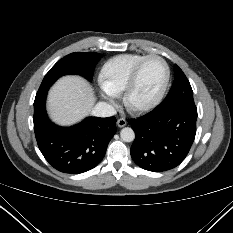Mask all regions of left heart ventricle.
Returning <instances> with one entry per match:
<instances>
[{
    "mask_svg": "<svg viewBox=\"0 0 233 233\" xmlns=\"http://www.w3.org/2000/svg\"><path fill=\"white\" fill-rule=\"evenodd\" d=\"M165 79V68L158 59H149L143 65L133 100L136 103H146L150 101L160 90Z\"/></svg>",
    "mask_w": 233,
    "mask_h": 233,
    "instance_id": "obj_1",
    "label": "left heart ventricle"
}]
</instances>
